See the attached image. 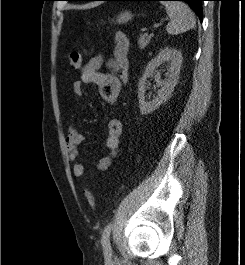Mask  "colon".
Masks as SVG:
<instances>
[{"mask_svg": "<svg viewBox=\"0 0 245 265\" xmlns=\"http://www.w3.org/2000/svg\"><path fill=\"white\" fill-rule=\"evenodd\" d=\"M86 51H73L69 54V66L72 70H78L81 66L83 56ZM114 59L119 67V78L122 83H126L128 80L130 57H129V42L126 36L122 32H117L115 35V51ZM84 195L88 205L91 208L95 207V197L93 193L86 189Z\"/></svg>", "mask_w": 245, "mask_h": 265, "instance_id": "obj_1", "label": "colon"}]
</instances>
